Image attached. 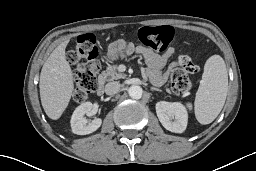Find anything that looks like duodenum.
<instances>
[{"mask_svg": "<svg viewBox=\"0 0 256 171\" xmlns=\"http://www.w3.org/2000/svg\"><path fill=\"white\" fill-rule=\"evenodd\" d=\"M104 89H105L104 78L101 77L97 86H96V93L98 95H103L104 94Z\"/></svg>", "mask_w": 256, "mask_h": 171, "instance_id": "duodenum-1", "label": "duodenum"}]
</instances>
